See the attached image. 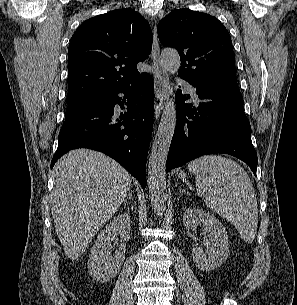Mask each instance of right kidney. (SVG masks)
Returning <instances> with one entry per match:
<instances>
[{
	"mask_svg": "<svg viewBox=\"0 0 297 305\" xmlns=\"http://www.w3.org/2000/svg\"><path fill=\"white\" fill-rule=\"evenodd\" d=\"M130 228V216L127 213H122L100 232L88 260V271L94 280L105 283L118 274L125 259V248L126 242L130 238ZM118 234L121 236L119 251L115 256H111V241Z\"/></svg>",
	"mask_w": 297,
	"mask_h": 305,
	"instance_id": "1",
	"label": "right kidney"
}]
</instances>
